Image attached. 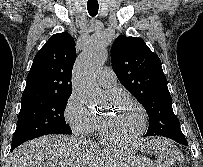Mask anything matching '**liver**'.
Listing matches in <instances>:
<instances>
[{
	"label": "liver",
	"mask_w": 203,
	"mask_h": 167,
	"mask_svg": "<svg viewBox=\"0 0 203 167\" xmlns=\"http://www.w3.org/2000/svg\"><path fill=\"white\" fill-rule=\"evenodd\" d=\"M131 152L76 137L47 135L15 149L6 167H123Z\"/></svg>",
	"instance_id": "6515ba94"
}]
</instances>
